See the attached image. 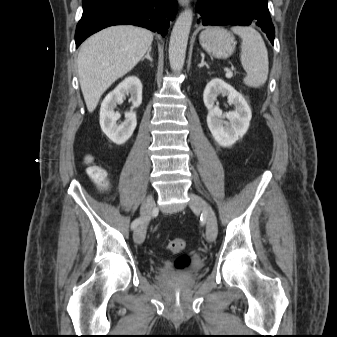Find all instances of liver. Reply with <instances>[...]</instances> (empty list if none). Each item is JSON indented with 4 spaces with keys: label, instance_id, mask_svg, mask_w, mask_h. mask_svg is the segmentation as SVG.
I'll return each instance as SVG.
<instances>
[{
    "label": "liver",
    "instance_id": "liver-1",
    "mask_svg": "<svg viewBox=\"0 0 337 337\" xmlns=\"http://www.w3.org/2000/svg\"><path fill=\"white\" fill-rule=\"evenodd\" d=\"M153 34L132 25L112 26L88 38L77 65L81 90L89 112L118 78L131 71L151 48Z\"/></svg>",
    "mask_w": 337,
    "mask_h": 337
}]
</instances>
